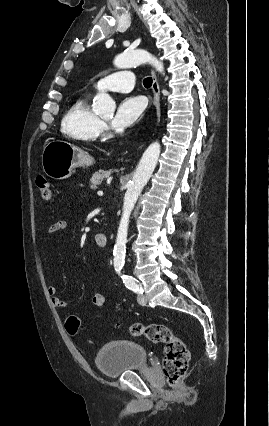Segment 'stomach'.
<instances>
[{
	"label": "stomach",
	"instance_id": "obj_1",
	"mask_svg": "<svg viewBox=\"0 0 269 426\" xmlns=\"http://www.w3.org/2000/svg\"><path fill=\"white\" fill-rule=\"evenodd\" d=\"M93 158L74 144L63 140H52L42 152L44 173L55 180L69 178L78 167L92 165Z\"/></svg>",
	"mask_w": 269,
	"mask_h": 426
}]
</instances>
